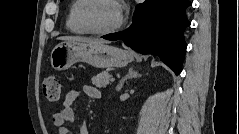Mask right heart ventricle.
Instances as JSON below:
<instances>
[{"label":"right heart ventricle","instance_id":"e07e8e85","mask_svg":"<svg viewBox=\"0 0 239 134\" xmlns=\"http://www.w3.org/2000/svg\"><path fill=\"white\" fill-rule=\"evenodd\" d=\"M85 0H74L71 2L68 16H67V27L68 29L75 34H86L87 31L81 25L79 21V12L82 4Z\"/></svg>","mask_w":239,"mask_h":134}]
</instances>
